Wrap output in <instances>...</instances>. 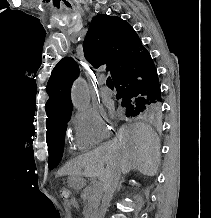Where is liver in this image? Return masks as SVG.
<instances>
[{
  "label": "liver",
  "mask_w": 211,
  "mask_h": 218,
  "mask_svg": "<svg viewBox=\"0 0 211 218\" xmlns=\"http://www.w3.org/2000/svg\"><path fill=\"white\" fill-rule=\"evenodd\" d=\"M159 160L160 144L156 134L149 126L138 122L122 126L113 140L100 150L78 156L76 164L78 170H84L85 176H97L100 182H104L107 174L115 170L122 174L138 170L144 176H154ZM64 172L69 174L70 168H65Z\"/></svg>",
  "instance_id": "1"
}]
</instances>
